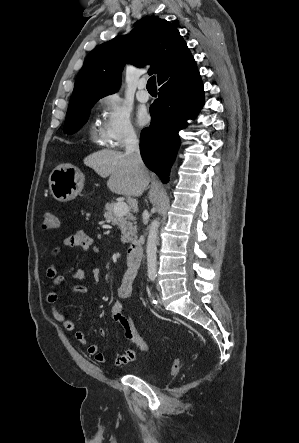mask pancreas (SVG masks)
<instances>
[{"label": "pancreas", "mask_w": 299, "mask_h": 443, "mask_svg": "<svg viewBox=\"0 0 299 443\" xmlns=\"http://www.w3.org/2000/svg\"><path fill=\"white\" fill-rule=\"evenodd\" d=\"M115 203L106 204L104 208V218L117 225L121 231V241L123 244L133 242L137 238L136 218L132 213L118 217L114 213Z\"/></svg>", "instance_id": "obj_1"}]
</instances>
